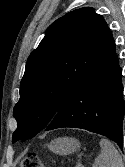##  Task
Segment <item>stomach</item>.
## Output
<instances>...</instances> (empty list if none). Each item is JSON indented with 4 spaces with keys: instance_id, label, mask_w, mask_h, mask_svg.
<instances>
[{
    "instance_id": "0dacf381",
    "label": "stomach",
    "mask_w": 125,
    "mask_h": 167,
    "mask_svg": "<svg viewBox=\"0 0 125 167\" xmlns=\"http://www.w3.org/2000/svg\"><path fill=\"white\" fill-rule=\"evenodd\" d=\"M48 148L59 155H68L80 148V143L75 138L62 137L57 138L48 144Z\"/></svg>"
}]
</instances>
